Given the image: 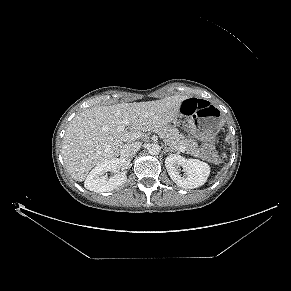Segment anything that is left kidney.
<instances>
[{"label":"left kidney","mask_w":291,"mask_h":291,"mask_svg":"<svg viewBox=\"0 0 291 291\" xmlns=\"http://www.w3.org/2000/svg\"><path fill=\"white\" fill-rule=\"evenodd\" d=\"M165 166L170 178L185 189L200 187L207 181L210 174L207 163L197 159H186L178 154L167 156ZM181 168L183 174L180 173Z\"/></svg>","instance_id":"obj_1"}]
</instances>
